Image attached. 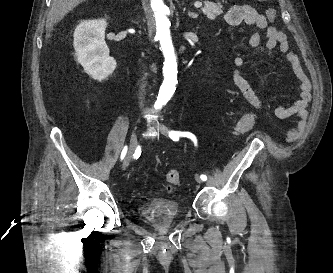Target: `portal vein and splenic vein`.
Here are the masks:
<instances>
[{
    "label": "portal vein and splenic vein",
    "mask_w": 333,
    "mask_h": 273,
    "mask_svg": "<svg viewBox=\"0 0 333 273\" xmlns=\"http://www.w3.org/2000/svg\"><path fill=\"white\" fill-rule=\"evenodd\" d=\"M194 6L197 7V8H200V7H202V3L201 2H196L194 4Z\"/></svg>",
    "instance_id": "portal-vein-and-splenic-vein-1"
}]
</instances>
